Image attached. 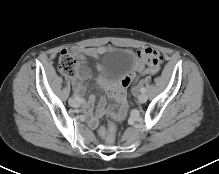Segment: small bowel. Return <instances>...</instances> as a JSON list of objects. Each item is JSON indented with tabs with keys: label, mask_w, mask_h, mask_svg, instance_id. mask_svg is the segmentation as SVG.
I'll return each instance as SVG.
<instances>
[{
	"label": "small bowel",
	"mask_w": 219,
	"mask_h": 174,
	"mask_svg": "<svg viewBox=\"0 0 219 174\" xmlns=\"http://www.w3.org/2000/svg\"><path fill=\"white\" fill-rule=\"evenodd\" d=\"M115 48L112 46L107 47H89V48H71L70 52L74 55L81 63H84L87 57L91 58H100L104 54L114 51ZM134 59V65L132 69L126 73L121 81L116 86H107V90L109 91V98L115 100L116 105L119 107V110L122 112L118 113L119 121L127 120V113L124 111L128 110V90L127 87L132 83V78L139 72L144 69L151 68H160L164 63V56L160 52H153L152 49L146 48L141 50L140 52H133L131 50H127ZM150 74V73H149ZM90 77L89 69L79 64L77 68V72L71 78V82L75 88L76 95L80 98L85 92L86 87L83 85V82ZM95 101V96H91L85 105V109L89 112L93 103ZM106 110V101L102 98L99 102L97 112L95 116H92L89 120V125L92 128H95L98 125L99 118L105 113Z\"/></svg>",
	"instance_id": "small-bowel-1"
}]
</instances>
